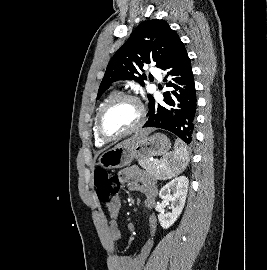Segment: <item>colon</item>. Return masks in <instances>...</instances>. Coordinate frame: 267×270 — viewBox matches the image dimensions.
<instances>
[{
	"mask_svg": "<svg viewBox=\"0 0 267 270\" xmlns=\"http://www.w3.org/2000/svg\"><path fill=\"white\" fill-rule=\"evenodd\" d=\"M94 185L97 198L100 202L106 203L114 198L120 190V179L103 169L94 173Z\"/></svg>",
	"mask_w": 267,
	"mask_h": 270,
	"instance_id": "5ec220e1",
	"label": "colon"
}]
</instances>
